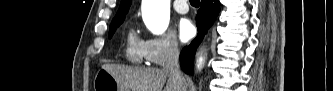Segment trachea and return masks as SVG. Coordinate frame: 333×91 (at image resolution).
Returning a JSON list of instances; mask_svg holds the SVG:
<instances>
[{"label":"trachea","instance_id":"trachea-1","mask_svg":"<svg viewBox=\"0 0 333 91\" xmlns=\"http://www.w3.org/2000/svg\"><path fill=\"white\" fill-rule=\"evenodd\" d=\"M197 2L199 3V0H190V3H191V4H195V3H197Z\"/></svg>","mask_w":333,"mask_h":91}]
</instances>
